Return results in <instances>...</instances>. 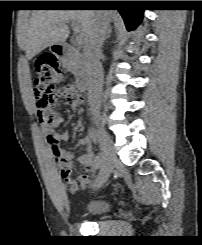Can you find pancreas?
I'll return each mask as SVG.
<instances>
[{
    "mask_svg": "<svg viewBox=\"0 0 202 245\" xmlns=\"http://www.w3.org/2000/svg\"><path fill=\"white\" fill-rule=\"evenodd\" d=\"M63 66L72 73H75L78 69L77 60L73 56H70L69 58L65 59L63 61Z\"/></svg>",
    "mask_w": 202,
    "mask_h": 245,
    "instance_id": "1",
    "label": "pancreas"
}]
</instances>
